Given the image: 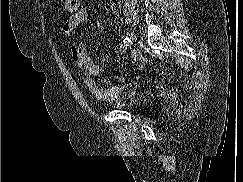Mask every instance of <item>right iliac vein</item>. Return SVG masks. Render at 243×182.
I'll list each match as a JSON object with an SVG mask.
<instances>
[{"instance_id":"63e3f726","label":"right iliac vein","mask_w":243,"mask_h":182,"mask_svg":"<svg viewBox=\"0 0 243 182\" xmlns=\"http://www.w3.org/2000/svg\"><path fill=\"white\" fill-rule=\"evenodd\" d=\"M127 35H128V37H129L131 40H136V39H137V37H136L132 32L127 31Z\"/></svg>"}]
</instances>
